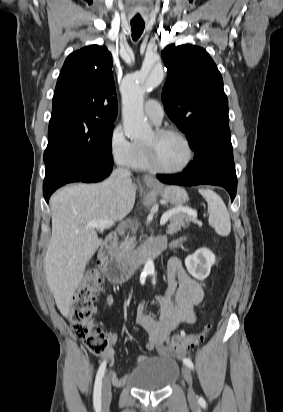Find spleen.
<instances>
[{
	"label": "spleen",
	"instance_id": "1",
	"mask_svg": "<svg viewBox=\"0 0 283 412\" xmlns=\"http://www.w3.org/2000/svg\"><path fill=\"white\" fill-rule=\"evenodd\" d=\"M199 193L208 203L210 226L218 235L228 236L231 231V221L224 201L210 189H200Z\"/></svg>",
	"mask_w": 283,
	"mask_h": 412
}]
</instances>
